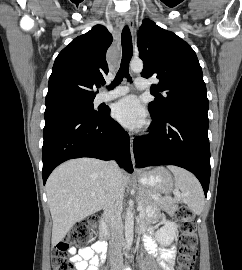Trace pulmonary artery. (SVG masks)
<instances>
[{"mask_svg":"<svg viewBox=\"0 0 242 270\" xmlns=\"http://www.w3.org/2000/svg\"><path fill=\"white\" fill-rule=\"evenodd\" d=\"M135 86H136V88H138L140 90H144V89H147L149 87V83L147 82V80L145 78H137L135 81ZM128 91H129V88L127 86H117L112 90L102 92L99 95L98 100L100 102L112 100V99H115V98H118V97H121V96L127 94Z\"/></svg>","mask_w":242,"mask_h":270,"instance_id":"1","label":"pulmonary artery"}]
</instances>
